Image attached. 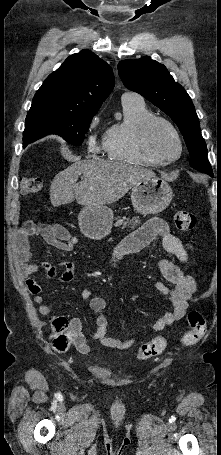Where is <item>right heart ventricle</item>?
I'll use <instances>...</instances> for the list:
<instances>
[{"instance_id":"right-heart-ventricle-1","label":"right heart ventricle","mask_w":221,"mask_h":455,"mask_svg":"<svg viewBox=\"0 0 221 455\" xmlns=\"http://www.w3.org/2000/svg\"><path fill=\"white\" fill-rule=\"evenodd\" d=\"M124 118L108 127L103 150L111 160L132 164L158 166L161 163L145 153L138 144V129L153 115L144 101L122 99Z\"/></svg>"}]
</instances>
